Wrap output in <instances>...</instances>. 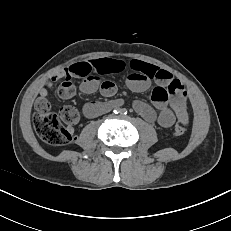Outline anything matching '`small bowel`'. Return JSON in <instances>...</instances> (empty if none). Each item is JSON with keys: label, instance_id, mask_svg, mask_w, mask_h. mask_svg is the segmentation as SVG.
<instances>
[{"label": "small bowel", "instance_id": "obj_1", "mask_svg": "<svg viewBox=\"0 0 231 231\" xmlns=\"http://www.w3.org/2000/svg\"><path fill=\"white\" fill-rule=\"evenodd\" d=\"M126 68H129L130 72L125 83L130 90L143 92L154 83L151 105L142 101H135L133 104L136 112L145 120L156 122L163 128L173 126L176 120L188 123L187 93L182 83L170 72L139 60L126 64L117 59L102 58L73 64L58 71L39 89L35 107L37 109L43 102H46L49 89L59 79L71 75L72 71L76 73V76L84 78L80 85L81 92L91 94L100 90L104 96H112L117 91L116 85L111 81L101 80L100 77L123 72ZM116 104L117 102H88L83 106V114L88 118L95 117Z\"/></svg>", "mask_w": 231, "mask_h": 231}]
</instances>
